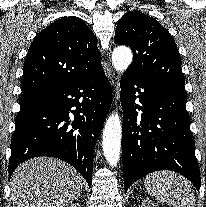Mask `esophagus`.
I'll return each mask as SVG.
<instances>
[{
	"mask_svg": "<svg viewBox=\"0 0 206 207\" xmlns=\"http://www.w3.org/2000/svg\"><path fill=\"white\" fill-rule=\"evenodd\" d=\"M115 87H116V93H115V103H116V100L118 99V96H119L117 82L115 83Z\"/></svg>",
	"mask_w": 206,
	"mask_h": 207,
	"instance_id": "esophagus-1",
	"label": "esophagus"
}]
</instances>
